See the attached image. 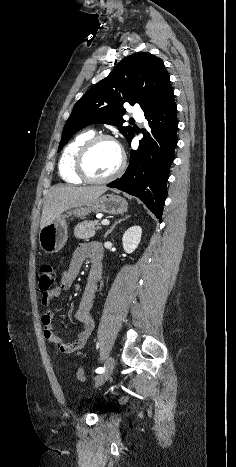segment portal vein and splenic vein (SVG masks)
<instances>
[{
	"label": "portal vein and splenic vein",
	"mask_w": 236,
	"mask_h": 467,
	"mask_svg": "<svg viewBox=\"0 0 236 467\" xmlns=\"http://www.w3.org/2000/svg\"><path fill=\"white\" fill-rule=\"evenodd\" d=\"M101 224L104 225V226H106V225H109L110 222H109V220L104 219V220L101 221Z\"/></svg>",
	"instance_id": "obj_1"
}]
</instances>
